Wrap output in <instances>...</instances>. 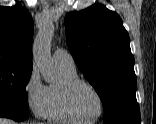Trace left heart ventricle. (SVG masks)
Listing matches in <instances>:
<instances>
[{
	"label": "left heart ventricle",
	"mask_w": 156,
	"mask_h": 124,
	"mask_svg": "<svg viewBox=\"0 0 156 124\" xmlns=\"http://www.w3.org/2000/svg\"><path fill=\"white\" fill-rule=\"evenodd\" d=\"M71 100L73 109L82 119H92L99 113V99L87 86L81 85L75 88Z\"/></svg>",
	"instance_id": "obj_1"
}]
</instances>
